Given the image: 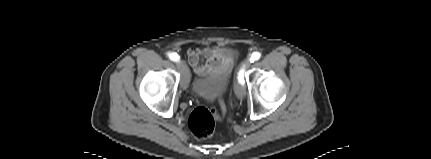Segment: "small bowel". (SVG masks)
<instances>
[{"instance_id":"obj_1","label":"small bowel","mask_w":431,"mask_h":159,"mask_svg":"<svg viewBox=\"0 0 431 159\" xmlns=\"http://www.w3.org/2000/svg\"><path fill=\"white\" fill-rule=\"evenodd\" d=\"M187 55L193 71L200 76L227 71L233 63L232 54L220 47L192 48Z\"/></svg>"}]
</instances>
